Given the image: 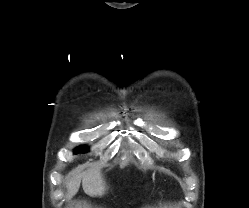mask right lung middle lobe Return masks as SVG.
I'll list each match as a JSON object with an SVG mask.
<instances>
[{"label":"right lung middle lobe","mask_w":249,"mask_h":208,"mask_svg":"<svg viewBox=\"0 0 249 208\" xmlns=\"http://www.w3.org/2000/svg\"><path fill=\"white\" fill-rule=\"evenodd\" d=\"M79 152H87V148L85 146L79 147L75 149V153H79Z\"/></svg>","instance_id":"obj_1"}]
</instances>
